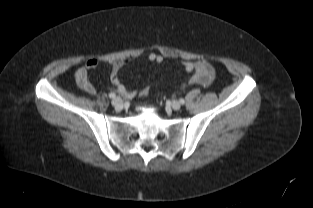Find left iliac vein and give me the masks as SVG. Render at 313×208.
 <instances>
[{
  "instance_id": "obj_1",
  "label": "left iliac vein",
  "mask_w": 313,
  "mask_h": 208,
  "mask_svg": "<svg viewBox=\"0 0 313 208\" xmlns=\"http://www.w3.org/2000/svg\"><path fill=\"white\" fill-rule=\"evenodd\" d=\"M171 107H172V109H174V110H179V109L181 108V104H180L179 101H173V102L171 103Z\"/></svg>"
}]
</instances>
